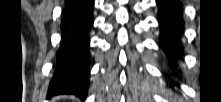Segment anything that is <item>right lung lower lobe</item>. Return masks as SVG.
<instances>
[{"instance_id": "98d812e1", "label": "right lung lower lobe", "mask_w": 221, "mask_h": 102, "mask_svg": "<svg viewBox=\"0 0 221 102\" xmlns=\"http://www.w3.org/2000/svg\"><path fill=\"white\" fill-rule=\"evenodd\" d=\"M93 0H68L61 19V42L56 52L48 97L74 94L85 98L90 63V30L93 26Z\"/></svg>"}]
</instances>
